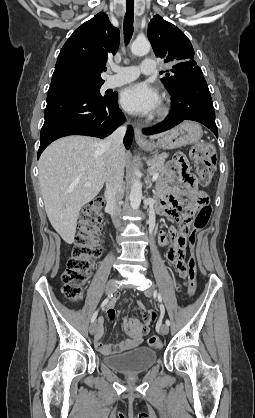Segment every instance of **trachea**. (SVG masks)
Returning <instances> with one entry per match:
<instances>
[{"mask_svg":"<svg viewBox=\"0 0 255 418\" xmlns=\"http://www.w3.org/2000/svg\"><path fill=\"white\" fill-rule=\"evenodd\" d=\"M133 22H134V0H127L126 13L124 17V39L126 45L129 43L133 35Z\"/></svg>","mask_w":255,"mask_h":418,"instance_id":"1","label":"trachea"}]
</instances>
